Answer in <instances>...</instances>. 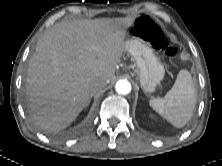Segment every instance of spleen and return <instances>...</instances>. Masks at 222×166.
Listing matches in <instances>:
<instances>
[{
  "mask_svg": "<svg viewBox=\"0 0 222 166\" xmlns=\"http://www.w3.org/2000/svg\"><path fill=\"white\" fill-rule=\"evenodd\" d=\"M195 87L188 70H180L173 87L164 98L149 101L160 116L177 128L184 127L191 119L195 108Z\"/></svg>",
  "mask_w": 222,
  "mask_h": 166,
  "instance_id": "spleen-1",
  "label": "spleen"
}]
</instances>
